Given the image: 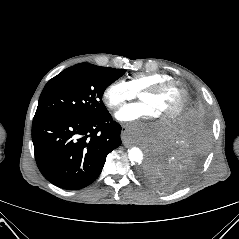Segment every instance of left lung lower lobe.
<instances>
[{
    "label": "left lung lower lobe",
    "instance_id": "left-lung-lower-lobe-1",
    "mask_svg": "<svg viewBox=\"0 0 239 239\" xmlns=\"http://www.w3.org/2000/svg\"><path fill=\"white\" fill-rule=\"evenodd\" d=\"M209 120L198 98L192 99L176 124L150 153L145 178L162 190L190 181L208 147Z\"/></svg>",
    "mask_w": 239,
    "mask_h": 239
}]
</instances>
